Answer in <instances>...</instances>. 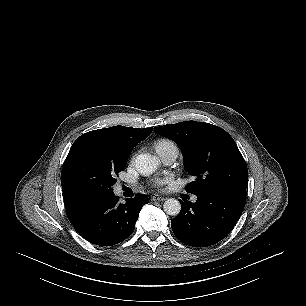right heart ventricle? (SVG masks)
I'll return each instance as SVG.
<instances>
[{
    "label": "right heart ventricle",
    "instance_id": "1",
    "mask_svg": "<svg viewBox=\"0 0 306 306\" xmlns=\"http://www.w3.org/2000/svg\"><path fill=\"white\" fill-rule=\"evenodd\" d=\"M170 147H176V145L172 141L167 139L158 140L154 145V148L158 155Z\"/></svg>",
    "mask_w": 306,
    "mask_h": 306
}]
</instances>
